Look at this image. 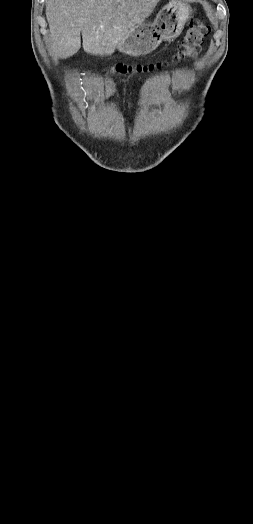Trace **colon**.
I'll list each match as a JSON object with an SVG mask.
<instances>
[{
	"label": "colon",
	"mask_w": 253,
	"mask_h": 524,
	"mask_svg": "<svg viewBox=\"0 0 253 524\" xmlns=\"http://www.w3.org/2000/svg\"><path fill=\"white\" fill-rule=\"evenodd\" d=\"M211 27L202 20H194L187 28L184 37L174 56V60H184L193 57L199 51L202 43L209 37ZM162 63L155 62L149 64H127L119 63L113 66L110 71L120 75H128L133 72H142L160 67Z\"/></svg>",
	"instance_id": "colon-1"
}]
</instances>
